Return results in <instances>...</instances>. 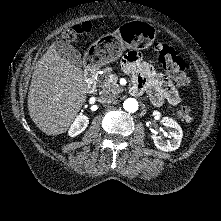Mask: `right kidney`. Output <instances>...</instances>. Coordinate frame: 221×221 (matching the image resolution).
<instances>
[{"mask_svg":"<svg viewBox=\"0 0 221 221\" xmlns=\"http://www.w3.org/2000/svg\"><path fill=\"white\" fill-rule=\"evenodd\" d=\"M89 123V119L87 116L85 115H79L74 123L71 125L68 134L71 137H75L77 135H79L80 133H82L88 126Z\"/></svg>","mask_w":221,"mask_h":221,"instance_id":"right-kidney-1","label":"right kidney"}]
</instances>
